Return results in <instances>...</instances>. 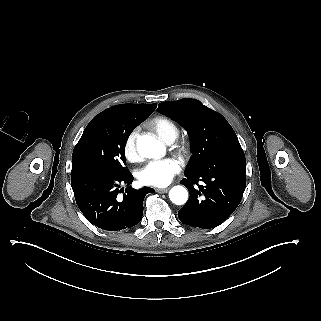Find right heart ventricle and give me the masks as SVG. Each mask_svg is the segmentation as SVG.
I'll return each mask as SVG.
<instances>
[{"label":"right heart ventricle","instance_id":"right-heart-ventricle-1","mask_svg":"<svg viewBox=\"0 0 321 321\" xmlns=\"http://www.w3.org/2000/svg\"><path fill=\"white\" fill-rule=\"evenodd\" d=\"M149 125L167 143L173 142L180 133L177 123L166 116H153Z\"/></svg>","mask_w":321,"mask_h":321}]
</instances>
